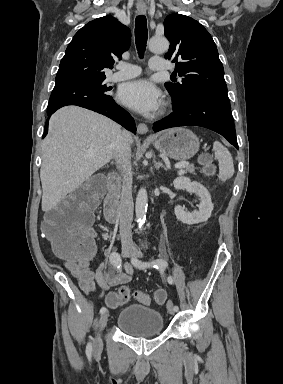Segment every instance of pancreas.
Returning <instances> with one entry per match:
<instances>
[{
	"label": "pancreas",
	"mask_w": 283,
	"mask_h": 384,
	"mask_svg": "<svg viewBox=\"0 0 283 384\" xmlns=\"http://www.w3.org/2000/svg\"><path fill=\"white\" fill-rule=\"evenodd\" d=\"M196 168H194V166H187V168H185V172H189V174H194Z\"/></svg>",
	"instance_id": "1"
}]
</instances>
